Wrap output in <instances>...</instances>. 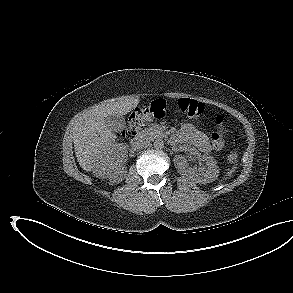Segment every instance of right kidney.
<instances>
[{
	"label": "right kidney",
	"mask_w": 293,
	"mask_h": 293,
	"mask_svg": "<svg viewBox=\"0 0 293 293\" xmlns=\"http://www.w3.org/2000/svg\"><path fill=\"white\" fill-rule=\"evenodd\" d=\"M122 170H123V167H122ZM120 172H122V171L120 170V171H115V172H112V171L108 172V174H109V176H108L109 181H110L111 183H115V182H117V179H118L117 177H118V174H119Z\"/></svg>",
	"instance_id": "right-kidney-1"
}]
</instances>
